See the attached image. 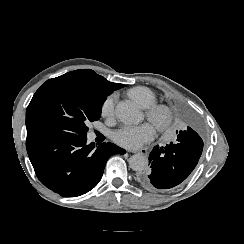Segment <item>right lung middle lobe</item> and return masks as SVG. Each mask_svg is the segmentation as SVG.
<instances>
[{
  "label": "right lung middle lobe",
  "mask_w": 244,
  "mask_h": 244,
  "mask_svg": "<svg viewBox=\"0 0 244 244\" xmlns=\"http://www.w3.org/2000/svg\"><path fill=\"white\" fill-rule=\"evenodd\" d=\"M108 94L89 77L66 73L46 81L26 111L27 133L87 136V122L97 121Z\"/></svg>",
  "instance_id": "dd1d6c3e"
}]
</instances>
